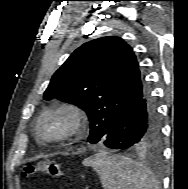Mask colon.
Returning a JSON list of instances; mask_svg holds the SVG:
<instances>
[{"instance_id": "1", "label": "colon", "mask_w": 188, "mask_h": 189, "mask_svg": "<svg viewBox=\"0 0 188 189\" xmlns=\"http://www.w3.org/2000/svg\"><path fill=\"white\" fill-rule=\"evenodd\" d=\"M34 174H47L53 177L62 176L59 166L51 160H41L33 164H27L22 171L24 177Z\"/></svg>"}]
</instances>
